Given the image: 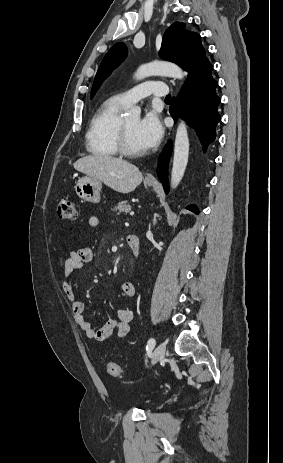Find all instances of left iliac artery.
Wrapping results in <instances>:
<instances>
[{
	"label": "left iliac artery",
	"mask_w": 283,
	"mask_h": 463,
	"mask_svg": "<svg viewBox=\"0 0 283 463\" xmlns=\"http://www.w3.org/2000/svg\"><path fill=\"white\" fill-rule=\"evenodd\" d=\"M155 344H156V341L154 338H150L148 340V343H147V346H146V350L150 351L152 350L154 347H155Z\"/></svg>",
	"instance_id": "1"
}]
</instances>
